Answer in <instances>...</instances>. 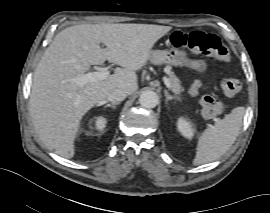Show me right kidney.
<instances>
[{
    "instance_id": "1",
    "label": "right kidney",
    "mask_w": 270,
    "mask_h": 213,
    "mask_svg": "<svg viewBox=\"0 0 270 213\" xmlns=\"http://www.w3.org/2000/svg\"><path fill=\"white\" fill-rule=\"evenodd\" d=\"M107 120L103 116H99L95 119V129L102 131L106 126Z\"/></svg>"
}]
</instances>
